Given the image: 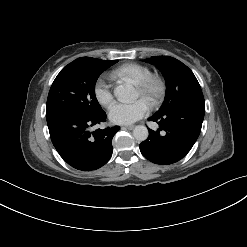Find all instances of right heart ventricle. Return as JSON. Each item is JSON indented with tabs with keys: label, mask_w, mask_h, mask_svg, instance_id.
<instances>
[{
	"label": "right heart ventricle",
	"mask_w": 247,
	"mask_h": 247,
	"mask_svg": "<svg viewBox=\"0 0 247 247\" xmlns=\"http://www.w3.org/2000/svg\"><path fill=\"white\" fill-rule=\"evenodd\" d=\"M151 74L149 67L138 63L123 64L113 71L114 76L130 78L136 84L143 82Z\"/></svg>",
	"instance_id": "1"
}]
</instances>
